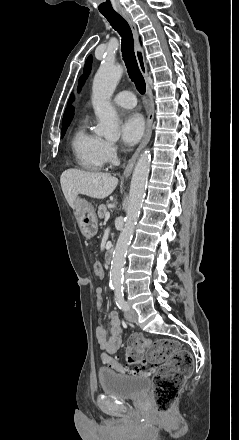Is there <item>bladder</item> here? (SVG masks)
I'll return each mask as SVG.
<instances>
[{
  "mask_svg": "<svg viewBox=\"0 0 239 440\" xmlns=\"http://www.w3.org/2000/svg\"><path fill=\"white\" fill-rule=\"evenodd\" d=\"M98 382L104 393L124 399L139 398L150 387L148 377L122 375L108 369L98 371Z\"/></svg>",
  "mask_w": 239,
  "mask_h": 440,
  "instance_id": "obj_1",
  "label": "bladder"
}]
</instances>
